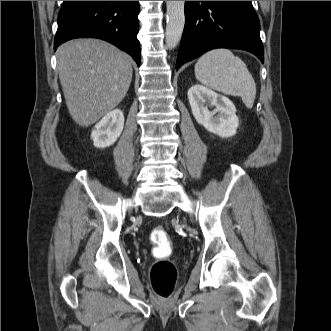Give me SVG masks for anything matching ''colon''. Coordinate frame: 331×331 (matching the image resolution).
<instances>
[{
    "instance_id": "1",
    "label": "colon",
    "mask_w": 331,
    "mask_h": 331,
    "mask_svg": "<svg viewBox=\"0 0 331 331\" xmlns=\"http://www.w3.org/2000/svg\"><path fill=\"white\" fill-rule=\"evenodd\" d=\"M150 240L157 258L150 271L151 284L157 297L166 301L172 296L177 280L176 266L168 259L171 253L170 238L164 228L157 227L150 233Z\"/></svg>"
}]
</instances>
